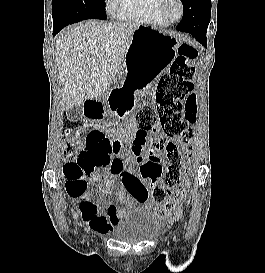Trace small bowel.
<instances>
[{"label": "small bowel", "instance_id": "obj_1", "mask_svg": "<svg viewBox=\"0 0 265 273\" xmlns=\"http://www.w3.org/2000/svg\"><path fill=\"white\" fill-rule=\"evenodd\" d=\"M117 96H132V91H113V96L108 101L112 110L126 109L127 102H135V97H122L121 99ZM129 107H133V104H129ZM87 108L91 109H85V119H91L92 123H100L104 115L99 103H87ZM76 129H90V124H76ZM129 129L133 132L136 127L130 124ZM112 147L114 159L109 167V182L99 187L98 183L105 179V175L96 173L94 175L96 183L93 186L94 189H98L96 195H93L91 190L89 193L72 196L73 199L79 201L83 219L100 234L110 233L127 208L150 204V190L144 182H152V171L155 168L163 169L166 165L164 159L152 155H149L144 161L137 160L139 165H125V162L132 163L133 160L125 159V151L119 142H112ZM136 170H140V177ZM117 178L118 182H121V187L115 185ZM112 194L115 195V202L106 205ZM176 205L177 203L173 207ZM173 207L163 206L154 208V210L161 218H165Z\"/></svg>", "mask_w": 265, "mask_h": 273}]
</instances>
